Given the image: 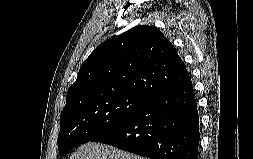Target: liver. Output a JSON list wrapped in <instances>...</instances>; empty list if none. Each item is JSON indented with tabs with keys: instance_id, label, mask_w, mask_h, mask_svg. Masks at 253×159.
<instances>
[{
	"instance_id": "liver-1",
	"label": "liver",
	"mask_w": 253,
	"mask_h": 159,
	"mask_svg": "<svg viewBox=\"0 0 253 159\" xmlns=\"http://www.w3.org/2000/svg\"><path fill=\"white\" fill-rule=\"evenodd\" d=\"M69 159H148L113 146L88 142L81 145Z\"/></svg>"
}]
</instances>
